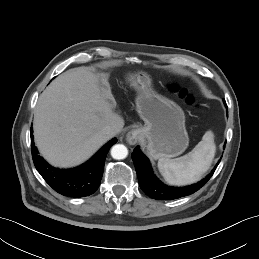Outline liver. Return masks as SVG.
I'll return each instance as SVG.
<instances>
[{
    "label": "liver",
    "mask_w": 259,
    "mask_h": 259,
    "mask_svg": "<svg viewBox=\"0 0 259 259\" xmlns=\"http://www.w3.org/2000/svg\"><path fill=\"white\" fill-rule=\"evenodd\" d=\"M107 74L87 67L59 75L40 95L34 111V138L41 155L57 167H73L89 159L110 138L103 129L123 118Z\"/></svg>",
    "instance_id": "liver-1"
}]
</instances>
